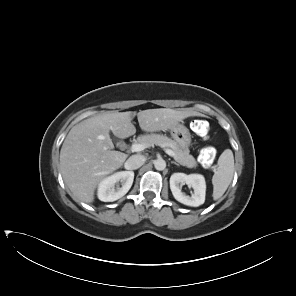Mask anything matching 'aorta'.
Here are the masks:
<instances>
[{"instance_id":"aorta-1","label":"aorta","mask_w":296,"mask_h":296,"mask_svg":"<svg viewBox=\"0 0 296 296\" xmlns=\"http://www.w3.org/2000/svg\"><path fill=\"white\" fill-rule=\"evenodd\" d=\"M154 167L158 171H162L166 168V162L163 159H157L154 162Z\"/></svg>"}]
</instances>
